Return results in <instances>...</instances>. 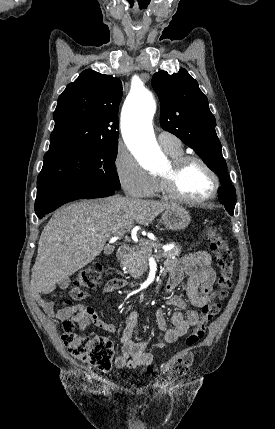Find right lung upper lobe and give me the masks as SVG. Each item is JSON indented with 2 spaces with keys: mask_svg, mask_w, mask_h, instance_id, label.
<instances>
[{
  "mask_svg": "<svg viewBox=\"0 0 275 429\" xmlns=\"http://www.w3.org/2000/svg\"><path fill=\"white\" fill-rule=\"evenodd\" d=\"M122 83L87 69L68 84L54 111L49 151L64 146L118 143Z\"/></svg>",
  "mask_w": 275,
  "mask_h": 429,
  "instance_id": "1",
  "label": "right lung upper lobe"
}]
</instances>
